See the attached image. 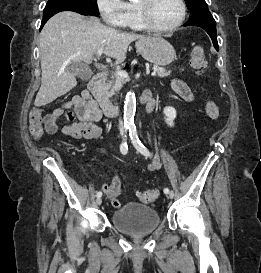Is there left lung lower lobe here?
<instances>
[{
	"label": "left lung lower lobe",
	"instance_id": "obj_1",
	"mask_svg": "<svg viewBox=\"0 0 261 273\" xmlns=\"http://www.w3.org/2000/svg\"><path fill=\"white\" fill-rule=\"evenodd\" d=\"M184 26H198L203 28L211 37L216 50H218L216 22L208 8L192 14L191 18L184 24Z\"/></svg>",
	"mask_w": 261,
	"mask_h": 273
}]
</instances>
